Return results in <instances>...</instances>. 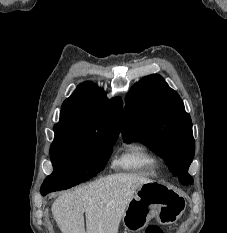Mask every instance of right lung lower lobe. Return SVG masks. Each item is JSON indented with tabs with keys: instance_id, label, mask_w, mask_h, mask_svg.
Masks as SVG:
<instances>
[{
	"instance_id": "1",
	"label": "right lung lower lobe",
	"mask_w": 227,
	"mask_h": 233,
	"mask_svg": "<svg viewBox=\"0 0 227 233\" xmlns=\"http://www.w3.org/2000/svg\"><path fill=\"white\" fill-rule=\"evenodd\" d=\"M48 192H41L42 196H45Z\"/></svg>"
}]
</instances>
